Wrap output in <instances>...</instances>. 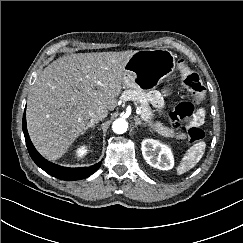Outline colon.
Here are the masks:
<instances>
[{"instance_id":"obj_1","label":"colon","mask_w":243,"mask_h":243,"mask_svg":"<svg viewBox=\"0 0 243 243\" xmlns=\"http://www.w3.org/2000/svg\"><path fill=\"white\" fill-rule=\"evenodd\" d=\"M181 74L183 86L192 94L194 102L201 104L206 98V87L200 75L190 69L185 61L180 60L177 64ZM171 125L174 129L184 133L190 142H198L204 138V132L201 128L193 126L185 128L183 122L194 120L195 107L191 102H181L177 104L169 115Z\"/></svg>"}]
</instances>
